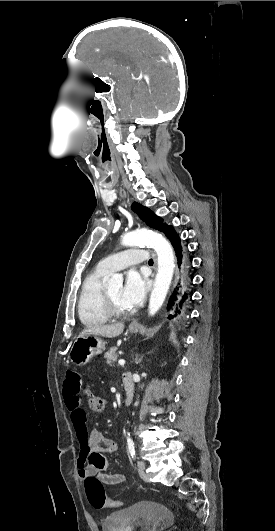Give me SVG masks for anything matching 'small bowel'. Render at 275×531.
Listing matches in <instances>:
<instances>
[{
	"mask_svg": "<svg viewBox=\"0 0 275 531\" xmlns=\"http://www.w3.org/2000/svg\"><path fill=\"white\" fill-rule=\"evenodd\" d=\"M66 374L67 380L63 384L65 403L70 411V422L74 435L81 446L77 455L78 477L84 479L86 471H95L97 478L105 485L123 483L125 476L120 473L110 472L109 462L104 456V453H115L118 449L117 443L104 436L99 430H93L89 435L87 415L80 406L78 397L81 392L80 375L74 367L67 369ZM83 438H86V443L82 446L81 439Z\"/></svg>",
	"mask_w": 275,
	"mask_h": 531,
	"instance_id": "obj_1",
	"label": "small bowel"
}]
</instances>
